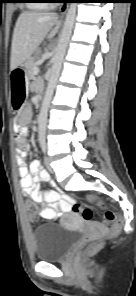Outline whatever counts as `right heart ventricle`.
Segmentation results:
<instances>
[{
    "label": "right heart ventricle",
    "instance_id": "e07e8e85",
    "mask_svg": "<svg viewBox=\"0 0 136 296\" xmlns=\"http://www.w3.org/2000/svg\"><path fill=\"white\" fill-rule=\"evenodd\" d=\"M29 6L34 9H45L48 7V3L45 0H33L32 3H29Z\"/></svg>",
    "mask_w": 136,
    "mask_h": 296
}]
</instances>
